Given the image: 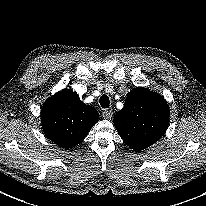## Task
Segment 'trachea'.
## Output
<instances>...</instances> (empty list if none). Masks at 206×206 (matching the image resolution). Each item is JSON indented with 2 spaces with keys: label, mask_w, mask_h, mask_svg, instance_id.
Returning <instances> with one entry per match:
<instances>
[{
  "label": "trachea",
  "mask_w": 206,
  "mask_h": 206,
  "mask_svg": "<svg viewBox=\"0 0 206 206\" xmlns=\"http://www.w3.org/2000/svg\"><path fill=\"white\" fill-rule=\"evenodd\" d=\"M99 102L102 108H109L110 106L109 97L105 94L100 97Z\"/></svg>",
  "instance_id": "trachea-1"
}]
</instances>
